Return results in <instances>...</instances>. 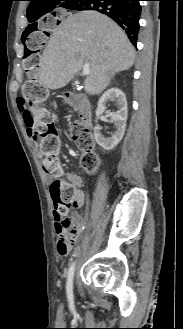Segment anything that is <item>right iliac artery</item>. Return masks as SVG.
Returning a JSON list of instances; mask_svg holds the SVG:
<instances>
[{"label": "right iliac artery", "mask_w": 183, "mask_h": 329, "mask_svg": "<svg viewBox=\"0 0 183 329\" xmlns=\"http://www.w3.org/2000/svg\"><path fill=\"white\" fill-rule=\"evenodd\" d=\"M74 269H75V263L73 262L68 270V277H67V296L70 303V306H73V277H74Z\"/></svg>", "instance_id": "obj_1"}]
</instances>
